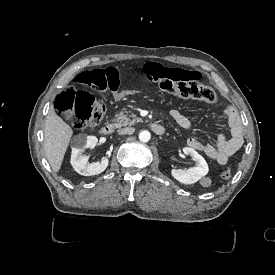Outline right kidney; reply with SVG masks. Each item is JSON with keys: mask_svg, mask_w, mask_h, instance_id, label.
Listing matches in <instances>:
<instances>
[{"mask_svg": "<svg viewBox=\"0 0 275 275\" xmlns=\"http://www.w3.org/2000/svg\"><path fill=\"white\" fill-rule=\"evenodd\" d=\"M98 139L95 136H86L79 134L72 141L71 164L74 170L83 176H93L105 171L109 164L108 158H103L101 163H88V156L84 154L86 149L96 147Z\"/></svg>", "mask_w": 275, "mask_h": 275, "instance_id": "ca27d5eb", "label": "right kidney"}]
</instances>
